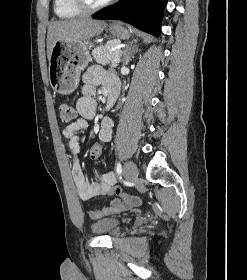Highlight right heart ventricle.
Here are the masks:
<instances>
[{
    "instance_id": "e07e8e85",
    "label": "right heart ventricle",
    "mask_w": 247,
    "mask_h": 280,
    "mask_svg": "<svg viewBox=\"0 0 247 280\" xmlns=\"http://www.w3.org/2000/svg\"><path fill=\"white\" fill-rule=\"evenodd\" d=\"M54 12L61 19H72L82 14L72 0H54Z\"/></svg>"
}]
</instances>
